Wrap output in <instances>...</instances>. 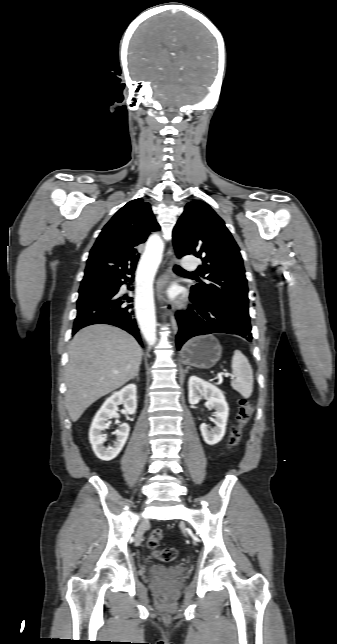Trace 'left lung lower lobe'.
Returning a JSON list of instances; mask_svg holds the SVG:
<instances>
[{
	"mask_svg": "<svg viewBox=\"0 0 337 644\" xmlns=\"http://www.w3.org/2000/svg\"><path fill=\"white\" fill-rule=\"evenodd\" d=\"M190 300L193 304L186 311L176 312L177 349L191 337L211 333L234 334L252 341L250 323L232 310L217 303H202L192 294Z\"/></svg>",
	"mask_w": 337,
	"mask_h": 644,
	"instance_id": "obj_1",
	"label": "left lung lower lobe"
}]
</instances>
